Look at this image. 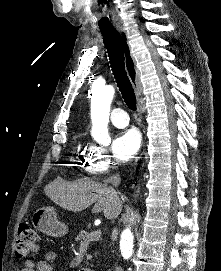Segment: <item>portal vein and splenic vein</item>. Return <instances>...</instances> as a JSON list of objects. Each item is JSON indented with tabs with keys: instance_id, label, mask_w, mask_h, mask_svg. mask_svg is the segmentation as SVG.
Masks as SVG:
<instances>
[{
	"instance_id": "1",
	"label": "portal vein and splenic vein",
	"mask_w": 221,
	"mask_h": 271,
	"mask_svg": "<svg viewBox=\"0 0 221 271\" xmlns=\"http://www.w3.org/2000/svg\"><path fill=\"white\" fill-rule=\"evenodd\" d=\"M101 231L98 229L97 231H92L90 234H89V237L86 239L88 242H97L98 241V234L100 233Z\"/></svg>"
}]
</instances>
